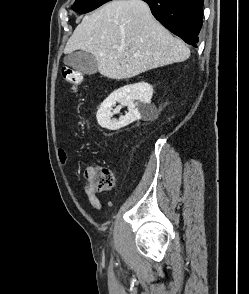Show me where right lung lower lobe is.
<instances>
[{
  "label": "right lung lower lobe",
  "mask_w": 249,
  "mask_h": 294,
  "mask_svg": "<svg viewBox=\"0 0 249 294\" xmlns=\"http://www.w3.org/2000/svg\"><path fill=\"white\" fill-rule=\"evenodd\" d=\"M154 17L186 43L197 46L204 0H143Z\"/></svg>",
  "instance_id": "98d812e1"
}]
</instances>
